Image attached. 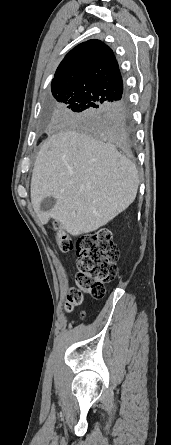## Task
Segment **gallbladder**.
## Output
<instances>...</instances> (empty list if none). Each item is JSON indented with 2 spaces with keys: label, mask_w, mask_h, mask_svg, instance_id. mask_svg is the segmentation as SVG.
Returning a JSON list of instances; mask_svg holds the SVG:
<instances>
[{
  "label": "gallbladder",
  "mask_w": 171,
  "mask_h": 445,
  "mask_svg": "<svg viewBox=\"0 0 171 445\" xmlns=\"http://www.w3.org/2000/svg\"><path fill=\"white\" fill-rule=\"evenodd\" d=\"M56 203V199L52 196L45 197L40 204V210L42 212L50 211Z\"/></svg>",
  "instance_id": "gallbladder-1"
}]
</instances>
